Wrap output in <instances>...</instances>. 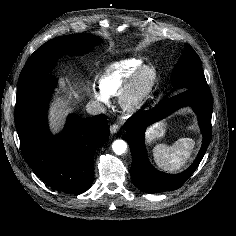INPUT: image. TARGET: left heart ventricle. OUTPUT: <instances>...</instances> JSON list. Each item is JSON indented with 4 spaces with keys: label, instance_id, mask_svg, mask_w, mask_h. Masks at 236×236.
<instances>
[{
    "label": "left heart ventricle",
    "instance_id": "left-heart-ventricle-1",
    "mask_svg": "<svg viewBox=\"0 0 236 236\" xmlns=\"http://www.w3.org/2000/svg\"><path fill=\"white\" fill-rule=\"evenodd\" d=\"M148 79H149V75L148 74H145L143 77H142V80H141V86H145L148 82Z\"/></svg>",
    "mask_w": 236,
    "mask_h": 236
}]
</instances>
